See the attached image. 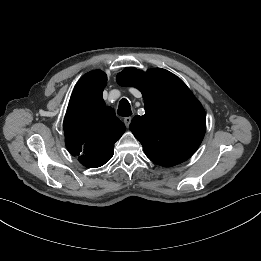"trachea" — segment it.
<instances>
[{"label":"trachea","mask_w":261,"mask_h":261,"mask_svg":"<svg viewBox=\"0 0 261 261\" xmlns=\"http://www.w3.org/2000/svg\"><path fill=\"white\" fill-rule=\"evenodd\" d=\"M117 113L119 116H122V117H128V116L132 115L130 103L128 102L127 99L123 98L120 100Z\"/></svg>","instance_id":"1"}]
</instances>
